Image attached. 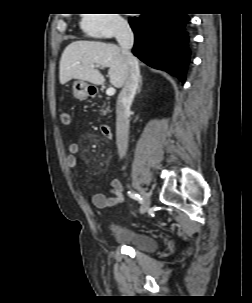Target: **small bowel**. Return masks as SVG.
<instances>
[{
    "label": "small bowel",
    "instance_id": "obj_1",
    "mask_svg": "<svg viewBox=\"0 0 252 303\" xmlns=\"http://www.w3.org/2000/svg\"><path fill=\"white\" fill-rule=\"evenodd\" d=\"M79 150V145L77 142H72L68 151L69 154L66 157V165L68 168L75 170L78 166L76 153ZM108 191L110 193V197L105 196L101 193H92L91 200L94 206L99 209H114L118 205L124 202V194H123V185L120 180L116 178H112L109 180Z\"/></svg>",
    "mask_w": 252,
    "mask_h": 303
}]
</instances>
